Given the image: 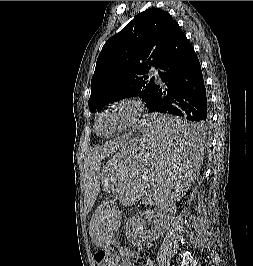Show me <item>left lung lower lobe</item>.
Wrapping results in <instances>:
<instances>
[{
	"mask_svg": "<svg viewBox=\"0 0 253 266\" xmlns=\"http://www.w3.org/2000/svg\"><path fill=\"white\" fill-rule=\"evenodd\" d=\"M164 83L154 86L149 112L182 117L178 124H160L152 131L174 141L204 136L210 125L207 95L197 55L178 23L158 61ZM200 140L201 139H197Z\"/></svg>",
	"mask_w": 253,
	"mask_h": 266,
	"instance_id": "left-lung-lower-lobe-1",
	"label": "left lung lower lobe"
}]
</instances>
